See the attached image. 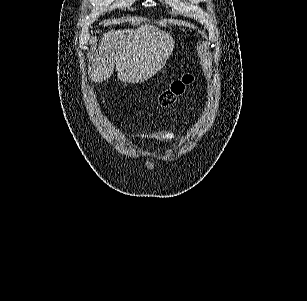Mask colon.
I'll list each match as a JSON object with an SVG mask.
<instances>
[{
    "label": "colon",
    "instance_id": "colon-1",
    "mask_svg": "<svg viewBox=\"0 0 307 301\" xmlns=\"http://www.w3.org/2000/svg\"><path fill=\"white\" fill-rule=\"evenodd\" d=\"M193 76L191 74H184L179 79L170 83V85L160 94L159 104L163 107L172 105L177 97H179L185 90L186 86L191 84Z\"/></svg>",
    "mask_w": 307,
    "mask_h": 301
}]
</instances>
